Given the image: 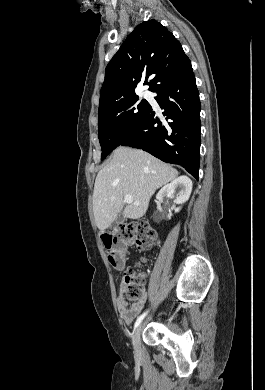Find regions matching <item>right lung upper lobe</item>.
Masks as SVG:
<instances>
[{
	"mask_svg": "<svg viewBox=\"0 0 265 390\" xmlns=\"http://www.w3.org/2000/svg\"><path fill=\"white\" fill-rule=\"evenodd\" d=\"M189 62L180 42L163 25L156 20L139 24L105 69L98 112L135 96L141 82L154 92Z\"/></svg>",
	"mask_w": 265,
	"mask_h": 390,
	"instance_id": "1",
	"label": "right lung upper lobe"
}]
</instances>
